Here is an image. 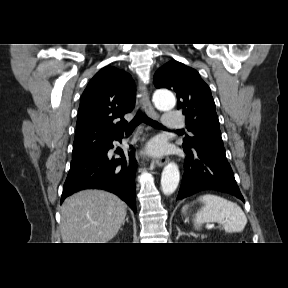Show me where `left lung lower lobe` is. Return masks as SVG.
Listing matches in <instances>:
<instances>
[{"label":"left lung lower lobe","mask_w":288,"mask_h":288,"mask_svg":"<svg viewBox=\"0 0 288 288\" xmlns=\"http://www.w3.org/2000/svg\"><path fill=\"white\" fill-rule=\"evenodd\" d=\"M187 158L177 200L202 190H219L244 202L226 158L205 148L184 149Z\"/></svg>","instance_id":"left-lung-lower-lobe-1"}]
</instances>
